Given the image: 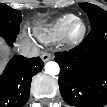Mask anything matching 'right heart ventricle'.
<instances>
[{"mask_svg": "<svg viewBox=\"0 0 107 107\" xmlns=\"http://www.w3.org/2000/svg\"><path fill=\"white\" fill-rule=\"evenodd\" d=\"M75 17L73 14L63 15L49 25L37 29L36 35L39 40L47 44L60 41L64 38L67 27Z\"/></svg>", "mask_w": 107, "mask_h": 107, "instance_id": "1", "label": "right heart ventricle"}]
</instances>
